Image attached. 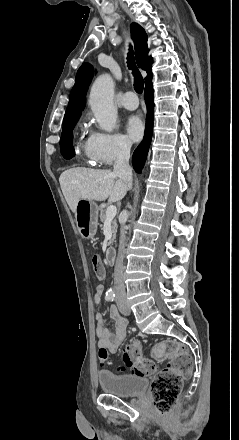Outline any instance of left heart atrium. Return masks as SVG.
I'll return each instance as SVG.
<instances>
[{
  "label": "left heart atrium",
  "mask_w": 239,
  "mask_h": 440,
  "mask_svg": "<svg viewBox=\"0 0 239 440\" xmlns=\"http://www.w3.org/2000/svg\"><path fill=\"white\" fill-rule=\"evenodd\" d=\"M127 139L137 141L143 133V125L140 119L135 115H128L122 121Z\"/></svg>",
  "instance_id": "1"
}]
</instances>
